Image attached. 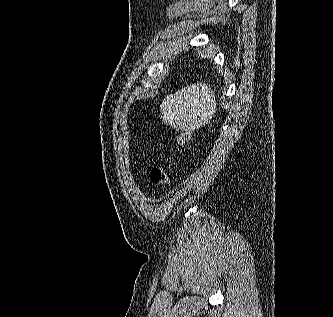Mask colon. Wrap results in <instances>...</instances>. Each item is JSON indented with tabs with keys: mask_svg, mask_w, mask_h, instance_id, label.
Here are the masks:
<instances>
[{
	"mask_svg": "<svg viewBox=\"0 0 333 317\" xmlns=\"http://www.w3.org/2000/svg\"><path fill=\"white\" fill-rule=\"evenodd\" d=\"M192 133L190 130H183L177 138L178 147H183L191 139ZM150 180L153 184L163 187H169L171 180L166 165L153 167L150 171Z\"/></svg>",
	"mask_w": 333,
	"mask_h": 317,
	"instance_id": "5ec220e1",
	"label": "colon"
}]
</instances>
